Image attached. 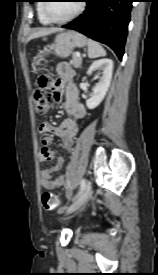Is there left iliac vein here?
Segmentation results:
<instances>
[{
    "label": "left iliac vein",
    "instance_id": "left-iliac-vein-1",
    "mask_svg": "<svg viewBox=\"0 0 158 275\" xmlns=\"http://www.w3.org/2000/svg\"><path fill=\"white\" fill-rule=\"evenodd\" d=\"M91 193V182L89 180L85 181V186L80 194V196L76 199V201L68 208V213H72L79 209L84 202L87 200Z\"/></svg>",
    "mask_w": 158,
    "mask_h": 275
}]
</instances>
